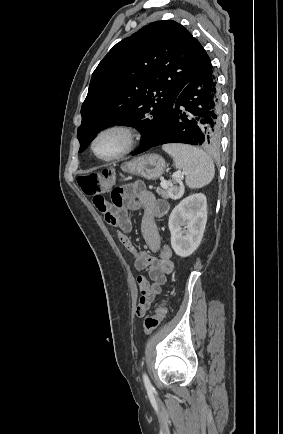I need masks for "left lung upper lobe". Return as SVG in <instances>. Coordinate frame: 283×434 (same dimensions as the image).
Masks as SVG:
<instances>
[{
	"instance_id": "5c2ea615",
	"label": "left lung upper lobe",
	"mask_w": 283,
	"mask_h": 434,
	"mask_svg": "<svg viewBox=\"0 0 283 434\" xmlns=\"http://www.w3.org/2000/svg\"><path fill=\"white\" fill-rule=\"evenodd\" d=\"M212 66L203 46L181 24L150 23L111 48L92 74L81 107L79 152L110 125L136 128L140 149L154 142L183 88Z\"/></svg>"
}]
</instances>
